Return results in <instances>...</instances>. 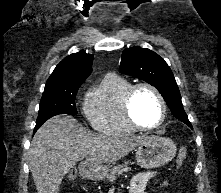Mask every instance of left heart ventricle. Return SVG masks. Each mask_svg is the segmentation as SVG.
Masks as SVG:
<instances>
[{"instance_id": "1", "label": "left heart ventricle", "mask_w": 221, "mask_h": 193, "mask_svg": "<svg viewBox=\"0 0 221 193\" xmlns=\"http://www.w3.org/2000/svg\"><path fill=\"white\" fill-rule=\"evenodd\" d=\"M134 119L142 126L150 127L161 117V105L156 95L149 89H139L132 101Z\"/></svg>"}]
</instances>
